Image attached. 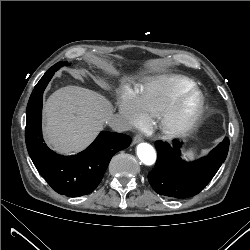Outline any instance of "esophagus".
Segmentation results:
<instances>
[{"instance_id":"esophagus-1","label":"esophagus","mask_w":250,"mask_h":250,"mask_svg":"<svg viewBox=\"0 0 250 250\" xmlns=\"http://www.w3.org/2000/svg\"><path fill=\"white\" fill-rule=\"evenodd\" d=\"M142 141H143V137L141 135L137 134L134 136L132 143L137 144V143H140Z\"/></svg>"}]
</instances>
